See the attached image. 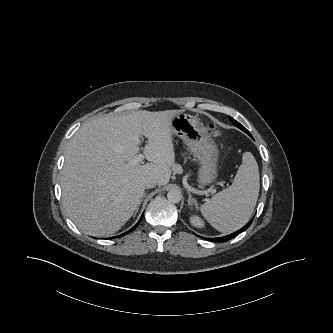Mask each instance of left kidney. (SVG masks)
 I'll use <instances>...</instances> for the list:
<instances>
[{
	"label": "left kidney",
	"instance_id": "5707ae66",
	"mask_svg": "<svg viewBox=\"0 0 333 333\" xmlns=\"http://www.w3.org/2000/svg\"><path fill=\"white\" fill-rule=\"evenodd\" d=\"M190 223L193 226L197 227V228H203L204 227L203 220L200 217H198L197 215H192L190 217Z\"/></svg>",
	"mask_w": 333,
	"mask_h": 333
}]
</instances>
